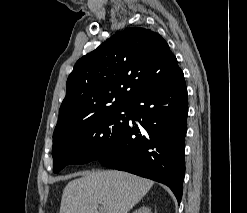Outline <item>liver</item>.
<instances>
[{"label":"liver","mask_w":247,"mask_h":213,"mask_svg":"<svg viewBox=\"0 0 247 213\" xmlns=\"http://www.w3.org/2000/svg\"><path fill=\"white\" fill-rule=\"evenodd\" d=\"M64 188L60 213H128L154 182L117 170L78 173Z\"/></svg>","instance_id":"obj_1"}]
</instances>
